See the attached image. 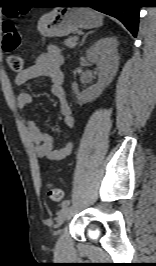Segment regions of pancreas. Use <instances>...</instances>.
<instances>
[{
	"instance_id": "1",
	"label": "pancreas",
	"mask_w": 156,
	"mask_h": 266,
	"mask_svg": "<svg viewBox=\"0 0 156 266\" xmlns=\"http://www.w3.org/2000/svg\"><path fill=\"white\" fill-rule=\"evenodd\" d=\"M77 40L76 37H69L64 41V44L69 48H74L78 44Z\"/></svg>"
}]
</instances>
